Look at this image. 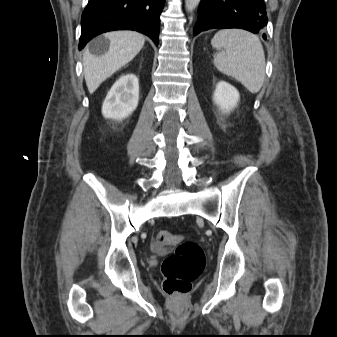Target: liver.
<instances>
[{
  "label": "liver",
  "mask_w": 337,
  "mask_h": 337,
  "mask_svg": "<svg viewBox=\"0 0 337 337\" xmlns=\"http://www.w3.org/2000/svg\"><path fill=\"white\" fill-rule=\"evenodd\" d=\"M104 37L109 40V48L104 55L95 56L88 48L83 54V71L91 94L103 81L134 59L145 43L144 36L135 31H112L105 33Z\"/></svg>",
  "instance_id": "obj_1"
}]
</instances>
